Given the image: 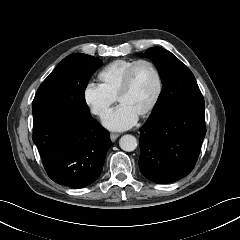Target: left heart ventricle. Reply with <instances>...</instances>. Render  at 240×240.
<instances>
[{"instance_id":"1","label":"left heart ventricle","mask_w":240,"mask_h":240,"mask_svg":"<svg viewBox=\"0 0 240 240\" xmlns=\"http://www.w3.org/2000/svg\"><path fill=\"white\" fill-rule=\"evenodd\" d=\"M157 90V80L152 69L146 64L138 65L132 76L131 88L121 99L120 105L126 106L138 117L149 106Z\"/></svg>"}]
</instances>
